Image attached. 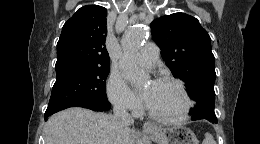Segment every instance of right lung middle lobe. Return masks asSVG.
I'll use <instances>...</instances> for the list:
<instances>
[{
	"instance_id": "1",
	"label": "right lung middle lobe",
	"mask_w": 260,
	"mask_h": 144,
	"mask_svg": "<svg viewBox=\"0 0 260 144\" xmlns=\"http://www.w3.org/2000/svg\"><path fill=\"white\" fill-rule=\"evenodd\" d=\"M110 67L63 66L56 68V82L46 112L108 102L105 87Z\"/></svg>"
}]
</instances>
